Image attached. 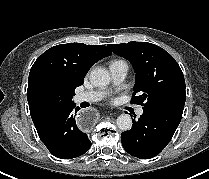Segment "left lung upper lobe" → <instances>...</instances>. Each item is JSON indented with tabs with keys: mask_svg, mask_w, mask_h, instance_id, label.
I'll use <instances>...</instances> for the list:
<instances>
[{
	"mask_svg": "<svg viewBox=\"0 0 209 179\" xmlns=\"http://www.w3.org/2000/svg\"><path fill=\"white\" fill-rule=\"evenodd\" d=\"M108 47L134 67L136 82L131 103L142 105L143 109L184 108V76L168 52L148 42L110 44Z\"/></svg>",
	"mask_w": 209,
	"mask_h": 179,
	"instance_id": "obj_1",
	"label": "left lung upper lobe"
}]
</instances>
